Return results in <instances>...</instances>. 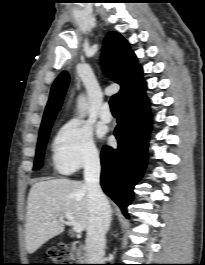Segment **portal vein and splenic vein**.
I'll return each instance as SVG.
<instances>
[{
  "label": "portal vein and splenic vein",
  "instance_id": "18ae733b",
  "mask_svg": "<svg viewBox=\"0 0 205 265\" xmlns=\"http://www.w3.org/2000/svg\"><path fill=\"white\" fill-rule=\"evenodd\" d=\"M65 218L67 219L69 225L73 227L74 232L80 234L83 231V227L78 223L70 213H65Z\"/></svg>",
  "mask_w": 205,
  "mask_h": 265
}]
</instances>
